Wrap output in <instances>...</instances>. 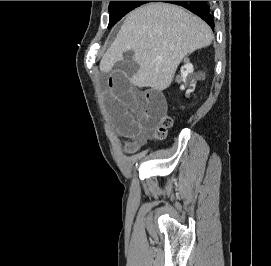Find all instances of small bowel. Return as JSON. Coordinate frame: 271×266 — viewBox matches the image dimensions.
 <instances>
[{
	"label": "small bowel",
	"instance_id": "1",
	"mask_svg": "<svg viewBox=\"0 0 271 266\" xmlns=\"http://www.w3.org/2000/svg\"><path fill=\"white\" fill-rule=\"evenodd\" d=\"M105 69L108 73L103 95L105 107L121 135L128 139L126 150H136L165 114V97L160 92L134 85L137 66L129 59L106 65Z\"/></svg>",
	"mask_w": 271,
	"mask_h": 266
}]
</instances>
